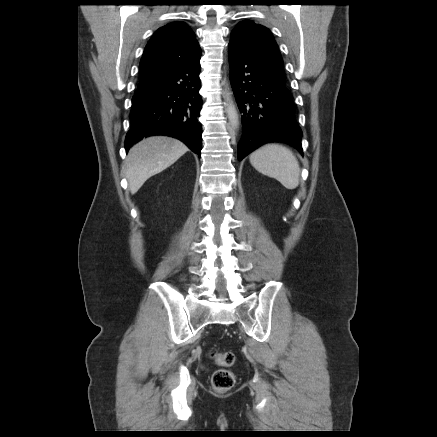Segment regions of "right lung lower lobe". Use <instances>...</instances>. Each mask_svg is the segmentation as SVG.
Instances as JSON below:
<instances>
[{"mask_svg": "<svg viewBox=\"0 0 437 437\" xmlns=\"http://www.w3.org/2000/svg\"><path fill=\"white\" fill-rule=\"evenodd\" d=\"M199 61L200 57L138 85L132 98L126 151L143 137L168 135L201 154Z\"/></svg>", "mask_w": 437, "mask_h": 437, "instance_id": "98d812e1", "label": "right lung lower lobe"}]
</instances>
